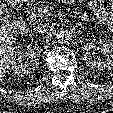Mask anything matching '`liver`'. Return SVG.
<instances>
[{
    "label": "liver",
    "mask_w": 113,
    "mask_h": 113,
    "mask_svg": "<svg viewBox=\"0 0 113 113\" xmlns=\"http://www.w3.org/2000/svg\"><path fill=\"white\" fill-rule=\"evenodd\" d=\"M4 8L0 6V81L10 69L15 58L16 40L11 32L10 22L3 16Z\"/></svg>",
    "instance_id": "6515ba94"
}]
</instances>
